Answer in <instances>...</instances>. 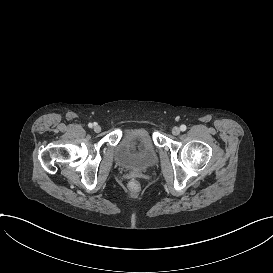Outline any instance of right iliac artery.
I'll list each match as a JSON object with an SVG mask.
<instances>
[{
  "label": "right iliac artery",
  "instance_id": "obj_1",
  "mask_svg": "<svg viewBox=\"0 0 273 273\" xmlns=\"http://www.w3.org/2000/svg\"><path fill=\"white\" fill-rule=\"evenodd\" d=\"M93 125L95 126V125H97V123H95V122H94L93 124H92V123H89V124H88V127H89V128H92Z\"/></svg>",
  "mask_w": 273,
  "mask_h": 273
}]
</instances>
